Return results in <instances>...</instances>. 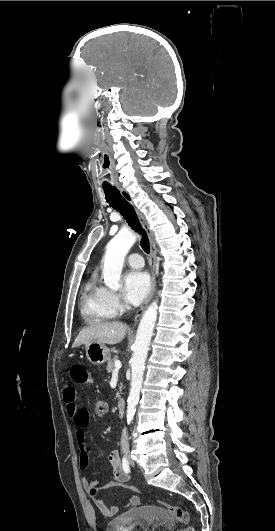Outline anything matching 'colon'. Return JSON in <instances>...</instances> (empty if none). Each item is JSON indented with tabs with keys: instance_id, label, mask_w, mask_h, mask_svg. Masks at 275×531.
I'll return each instance as SVG.
<instances>
[{
	"instance_id": "5ec220e1",
	"label": "colon",
	"mask_w": 275,
	"mask_h": 531,
	"mask_svg": "<svg viewBox=\"0 0 275 531\" xmlns=\"http://www.w3.org/2000/svg\"><path fill=\"white\" fill-rule=\"evenodd\" d=\"M94 411L97 416H104L107 412V404L101 399L94 400ZM112 485L116 486H125V491H131L133 494H136L139 491V488L133 487L131 484H119L118 482H112L110 485H103V488H110ZM90 496L95 497L98 494L97 489L92 488L89 491ZM162 507L170 513L182 526V531H194V528L190 525V515L182 507L169 504L166 502H160Z\"/></svg>"
}]
</instances>
